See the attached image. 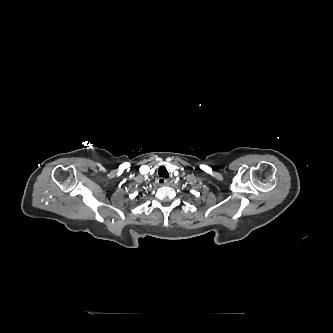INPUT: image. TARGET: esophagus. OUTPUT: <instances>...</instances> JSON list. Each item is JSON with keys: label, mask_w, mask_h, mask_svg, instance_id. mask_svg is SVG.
<instances>
[{"label": "esophagus", "mask_w": 333, "mask_h": 333, "mask_svg": "<svg viewBox=\"0 0 333 333\" xmlns=\"http://www.w3.org/2000/svg\"><path fill=\"white\" fill-rule=\"evenodd\" d=\"M157 183L160 185V186H164V185H168L169 184V180L166 179V178H159L157 180Z\"/></svg>", "instance_id": "1"}]
</instances>
